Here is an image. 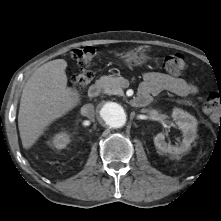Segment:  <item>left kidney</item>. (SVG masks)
Returning <instances> with one entry per match:
<instances>
[{
    "label": "left kidney",
    "instance_id": "5707ae66",
    "mask_svg": "<svg viewBox=\"0 0 221 221\" xmlns=\"http://www.w3.org/2000/svg\"><path fill=\"white\" fill-rule=\"evenodd\" d=\"M172 118L183 132V140L181 144L177 146L168 144L165 141L164 133H158L154 137V144L162 152L173 155L182 154L189 150L191 143L196 138L197 120L194 116L179 108L173 109Z\"/></svg>",
    "mask_w": 221,
    "mask_h": 221
}]
</instances>
